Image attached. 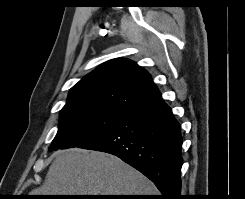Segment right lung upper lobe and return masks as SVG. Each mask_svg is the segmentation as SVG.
Listing matches in <instances>:
<instances>
[{
	"label": "right lung upper lobe",
	"mask_w": 245,
	"mask_h": 199,
	"mask_svg": "<svg viewBox=\"0 0 245 199\" xmlns=\"http://www.w3.org/2000/svg\"><path fill=\"white\" fill-rule=\"evenodd\" d=\"M163 101L151 75L127 59L101 64L74 85L64 108L92 105L127 115Z\"/></svg>",
	"instance_id": "obj_1"
}]
</instances>
